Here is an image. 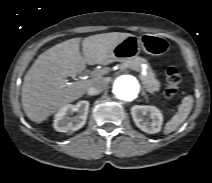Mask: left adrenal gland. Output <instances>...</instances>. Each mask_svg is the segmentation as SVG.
Returning a JSON list of instances; mask_svg holds the SVG:
<instances>
[{
	"instance_id": "left-adrenal-gland-1",
	"label": "left adrenal gland",
	"mask_w": 212,
	"mask_h": 183,
	"mask_svg": "<svg viewBox=\"0 0 212 183\" xmlns=\"http://www.w3.org/2000/svg\"><path fill=\"white\" fill-rule=\"evenodd\" d=\"M142 95H143V96H146V94H145V93H143Z\"/></svg>"
}]
</instances>
